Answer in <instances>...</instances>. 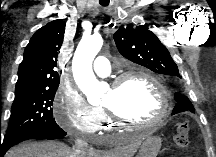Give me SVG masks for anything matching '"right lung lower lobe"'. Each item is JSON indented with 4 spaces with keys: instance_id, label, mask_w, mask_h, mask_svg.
<instances>
[{
    "instance_id": "right-lung-lower-lobe-1",
    "label": "right lung lower lobe",
    "mask_w": 216,
    "mask_h": 157,
    "mask_svg": "<svg viewBox=\"0 0 216 157\" xmlns=\"http://www.w3.org/2000/svg\"><path fill=\"white\" fill-rule=\"evenodd\" d=\"M66 135V132L60 127L47 130H38L30 132L24 136H20L13 140L7 141L6 143L0 144V157H4L7 150L13 145L30 139H59Z\"/></svg>"
}]
</instances>
